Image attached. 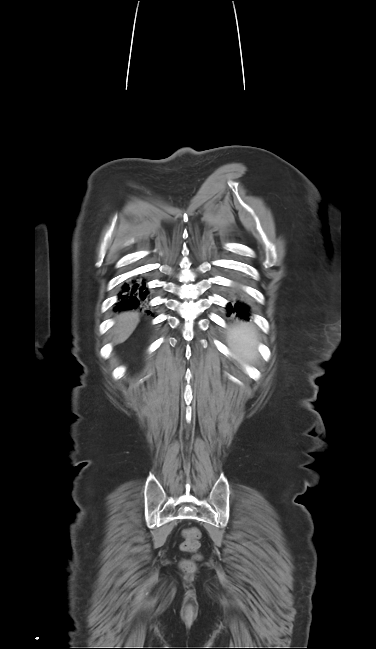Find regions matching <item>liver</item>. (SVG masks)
<instances>
[{"label": "liver", "instance_id": "liver-1", "mask_svg": "<svg viewBox=\"0 0 376 649\" xmlns=\"http://www.w3.org/2000/svg\"><path fill=\"white\" fill-rule=\"evenodd\" d=\"M139 323V313L135 311L123 312L118 316V322L112 331L114 344L125 342Z\"/></svg>", "mask_w": 376, "mask_h": 649}]
</instances>
